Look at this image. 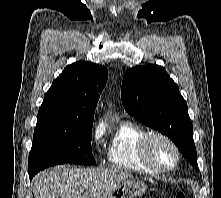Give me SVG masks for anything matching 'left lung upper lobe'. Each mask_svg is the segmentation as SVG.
Segmentation results:
<instances>
[{"mask_svg": "<svg viewBox=\"0 0 221 198\" xmlns=\"http://www.w3.org/2000/svg\"><path fill=\"white\" fill-rule=\"evenodd\" d=\"M121 99L130 115L167 135L190 164L198 168L186 101L163 67L150 64L126 71Z\"/></svg>", "mask_w": 221, "mask_h": 198, "instance_id": "1", "label": "left lung upper lobe"}]
</instances>
